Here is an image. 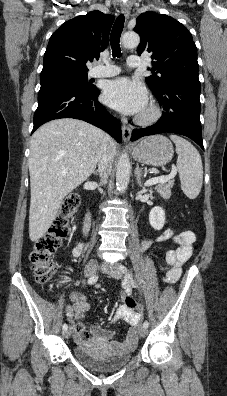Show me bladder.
<instances>
[{
	"label": "bladder",
	"instance_id": "1",
	"mask_svg": "<svg viewBox=\"0 0 227 396\" xmlns=\"http://www.w3.org/2000/svg\"><path fill=\"white\" fill-rule=\"evenodd\" d=\"M75 359L94 372H112L127 365L132 359L130 352L109 354L93 342L76 345L73 348Z\"/></svg>",
	"mask_w": 227,
	"mask_h": 396
}]
</instances>
